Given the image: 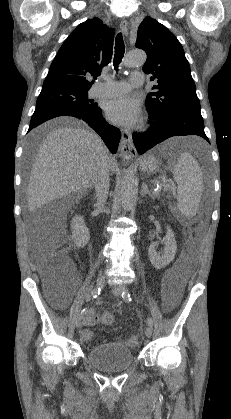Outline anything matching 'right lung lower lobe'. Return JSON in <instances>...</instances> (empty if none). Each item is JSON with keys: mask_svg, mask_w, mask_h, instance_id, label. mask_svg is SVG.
<instances>
[{"mask_svg": "<svg viewBox=\"0 0 231 419\" xmlns=\"http://www.w3.org/2000/svg\"><path fill=\"white\" fill-rule=\"evenodd\" d=\"M59 116H72L85 121L101 136L110 151L116 153L121 137L120 130L105 121L101 109L97 106L91 111L74 110L64 107H36L28 132L39 124Z\"/></svg>", "mask_w": 231, "mask_h": 419, "instance_id": "1", "label": "right lung lower lobe"}]
</instances>
